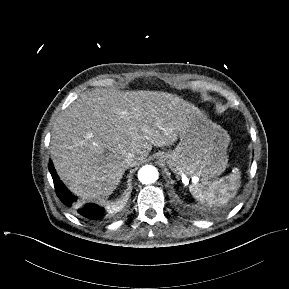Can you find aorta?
Segmentation results:
<instances>
[{
    "label": "aorta",
    "mask_w": 289,
    "mask_h": 289,
    "mask_svg": "<svg viewBox=\"0 0 289 289\" xmlns=\"http://www.w3.org/2000/svg\"><path fill=\"white\" fill-rule=\"evenodd\" d=\"M158 175V170L152 165H145L138 171V179L142 184L154 183Z\"/></svg>",
    "instance_id": "1"
}]
</instances>
